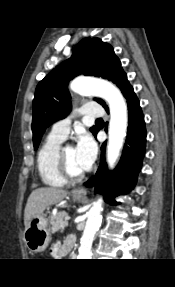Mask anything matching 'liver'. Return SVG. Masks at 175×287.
<instances>
[{
	"mask_svg": "<svg viewBox=\"0 0 175 287\" xmlns=\"http://www.w3.org/2000/svg\"><path fill=\"white\" fill-rule=\"evenodd\" d=\"M67 195L68 191L60 188L41 187L33 190L27 200L24 211L25 228L28 226L31 218L41 215L46 208L59 203Z\"/></svg>",
	"mask_w": 175,
	"mask_h": 287,
	"instance_id": "6515ba94",
	"label": "liver"
}]
</instances>
